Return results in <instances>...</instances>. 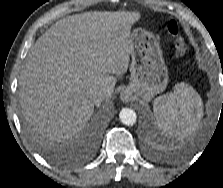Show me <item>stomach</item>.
I'll return each instance as SVG.
<instances>
[{"label":"stomach","instance_id":"0dacf381","mask_svg":"<svg viewBox=\"0 0 223 188\" xmlns=\"http://www.w3.org/2000/svg\"><path fill=\"white\" fill-rule=\"evenodd\" d=\"M131 46V81L124 91L135 99L150 101L168 84V70L155 36L143 28L129 36Z\"/></svg>","mask_w":223,"mask_h":188}]
</instances>
